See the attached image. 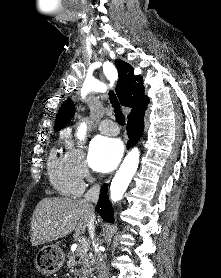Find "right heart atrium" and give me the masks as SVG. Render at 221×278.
Segmentation results:
<instances>
[{
	"mask_svg": "<svg viewBox=\"0 0 221 278\" xmlns=\"http://www.w3.org/2000/svg\"><path fill=\"white\" fill-rule=\"evenodd\" d=\"M66 157L81 180L91 178V169L84 151L68 136L65 137Z\"/></svg>",
	"mask_w": 221,
	"mask_h": 278,
	"instance_id": "1",
	"label": "right heart atrium"
}]
</instances>
